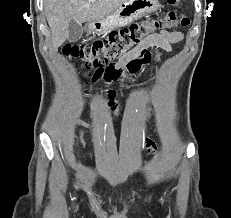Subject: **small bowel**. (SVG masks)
Masks as SVG:
<instances>
[{
    "mask_svg": "<svg viewBox=\"0 0 231 218\" xmlns=\"http://www.w3.org/2000/svg\"><path fill=\"white\" fill-rule=\"evenodd\" d=\"M183 39V34L179 31H162L157 34L151 35L144 44L133 51L132 53L126 56H120L119 60L115 63H110L109 66H101L100 69H92L89 73L92 74L93 82L102 79L106 85V97L108 105L112 108L116 106L115 97L116 92L112 89L109 85L119 80L123 82L125 79V74L129 73H136L138 72L143 65H150L151 59L150 58H134L136 57L143 49H147L149 47H156L167 52L172 50V44L177 43ZM157 61H160V57H157ZM90 127L88 124H81L78 127L77 135L78 140L82 148H85V140L83 137V129ZM145 146L148 152L153 149V143L151 140L145 141Z\"/></svg>",
    "mask_w": 231,
    "mask_h": 218,
    "instance_id": "small-bowel-1",
    "label": "small bowel"
}]
</instances>
